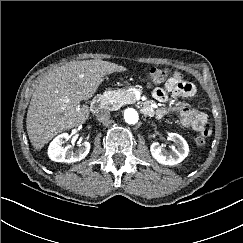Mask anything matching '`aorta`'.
Here are the masks:
<instances>
[{"instance_id":"1","label":"aorta","mask_w":243,"mask_h":243,"mask_svg":"<svg viewBox=\"0 0 243 243\" xmlns=\"http://www.w3.org/2000/svg\"><path fill=\"white\" fill-rule=\"evenodd\" d=\"M124 119L128 124H136L139 120L138 112L134 108H127L124 111Z\"/></svg>"}]
</instances>
